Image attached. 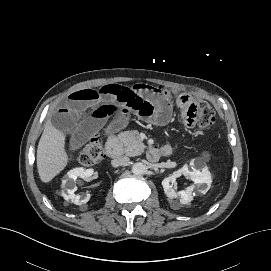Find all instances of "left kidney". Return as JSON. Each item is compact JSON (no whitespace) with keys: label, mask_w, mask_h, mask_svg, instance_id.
<instances>
[{"label":"left kidney","mask_w":271,"mask_h":271,"mask_svg":"<svg viewBox=\"0 0 271 271\" xmlns=\"http://www.w3.org/2000/svg\"><path fill=\"white\" fill-rule=\"evenodd\" d=\"M182 174L190 178L194 184L198 185V187H200V191H205L211 184V175L207 168H202L201 170L194 169L193 171H190L187 166H184L174 171L171 176L163 179L162 186L169 199L179 198L181 204H187L192 200V193L195 189V186H189L183 191L176 192L174 190L173 184Z\"/></svg>","instance_id":"5707ae66"}]
</instances>
